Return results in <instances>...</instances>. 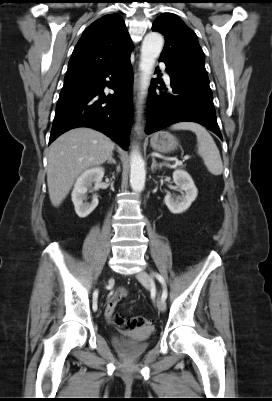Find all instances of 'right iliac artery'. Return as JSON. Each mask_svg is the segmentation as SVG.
<instances>
[{"label":"right iliac artery","mask_w":272,"mask_h":401,"mask_svg":"<svg viewBox=\"0 0 272 401\" xmlns=\"http://www.w3.org/2000/svg\"><path fill=\"white\" fill-rule=\"evenodd\" d=\"M97 297H98V291L96 290L93 293V310L96 311L97 310Z\"/></svg>","instance_id":"obj_1"}]
</instances>
